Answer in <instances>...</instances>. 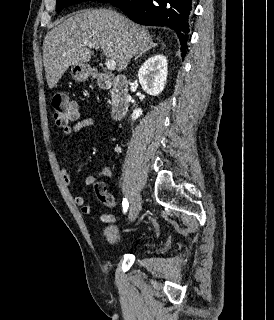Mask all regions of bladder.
I'll return each instance as SVG.
<instances>
[{
	"instance_id": "1",
	"label": "bladder",
	"mask_w": 274,
	"mask_h": 320,
	"mask_svg": "<svg viewBox=\"0 0 274 320\" xmlns=\"http://www.w3.org/2000/svg\"><path fill=\"white\" fill-rule=\"evenodd\" d=\"M106 235L111 243H115L118 239V229L115 225H110L106 229Z\"/></svg>"
}]
</instances>
